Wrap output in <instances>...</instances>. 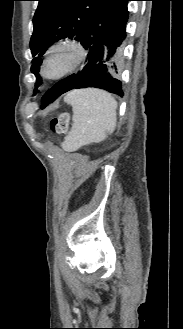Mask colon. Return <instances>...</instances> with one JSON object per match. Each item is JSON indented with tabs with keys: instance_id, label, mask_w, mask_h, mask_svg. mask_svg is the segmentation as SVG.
Masks as SVG:
<instances>
[{
	"instance_id": "colon-1",
	"label": "colon",
	"mask_w": 183,
	"mask_h": 329,
	"mask_svg": "<svg viewBox=\"0 0 183 329\" xmlns=\"http://www.w3.org/2000/svg\"><path fill=\"white\" fill-rule=\"evenodd\" d=\"M70 122V115L62 112L52 118L50 122L51 130L57 136H63L67 133Z\"/></svg>"
}]
</instances>
